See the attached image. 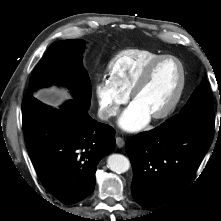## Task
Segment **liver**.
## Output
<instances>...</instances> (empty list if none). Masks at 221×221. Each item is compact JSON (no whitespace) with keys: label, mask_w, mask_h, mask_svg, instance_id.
Listing matches in <instances>:
<instances>
[{"label":"liver","mask_w":221,"mask_h":221,"mask_svg":"<svg viewBox=\"0 0 221 221\" xmlns=\"http://www.w3.org/2000/svg\"><path fill=\"white\" fill-rule=\"evenodd\" d=\"M36 98L47 105L57 107L65 96L54 89H45L35 94Z\"/></svg>","instance_id":"6515ba94"}]
</instances>
